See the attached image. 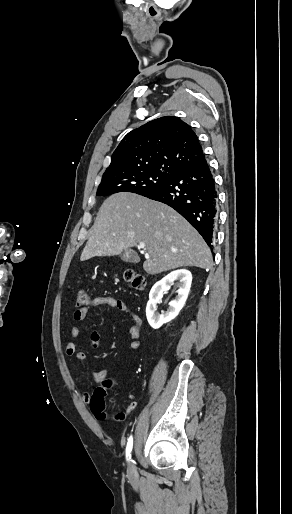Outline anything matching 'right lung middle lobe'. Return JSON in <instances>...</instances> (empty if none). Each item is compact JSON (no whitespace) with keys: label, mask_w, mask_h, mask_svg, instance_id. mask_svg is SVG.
I'll return each mask as SVG.
<instances>
[{"label":"right lung middle lobe","mask_w":292,"mask_h":514,"mask_svg":"<svg viewBox=\"0 0 292 514\" xmlns=\"http://www.w3.org/2000/svg\"><path fill=\"white\" fill-rule=\"evenodd\" d=\"M172 174L166 172H145L102 179L97 196H108L118 192H132L143 195L165 183Z\"/></svg>","instance_id":"obj_1"}]
</instances>
